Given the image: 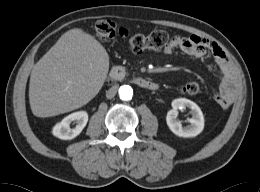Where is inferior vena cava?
<instances>
[{"instance_id": "obj_1", "label": "inferior vena cava", "mask_w": 260, "mask_h": 192, "mask_svg": "<svg viewBox=\"0 0 260 192\" xmlns=\"http://www.w3.org/2000/svg\"><path fill=\"white\" fill-rule=\"evenodd\" d=\"M116 88L112 87L108 91H106V97L107 99H112L116 95Z\"/></svg>"}]
</instances>
